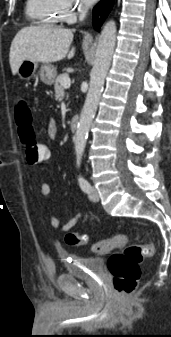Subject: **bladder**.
I'll list each match as a JSON object with an SVG mask.
<instances>
[{"label":"bladder","mask_w":171,"mask_h":337,"mask_svg":"<svg viewBox=\"0 0 171 337\" xmlns=\"http://www.w3.org/2000/svg\"><path fill=\"white\" fill-rule=\"evenodd\" d=\"M61 260L67 274L75 277L91 278L98 276L104 267V261L99 257H82L64 254Z\"/></svg>","instance_id":"obj_1"}]
</instances>
